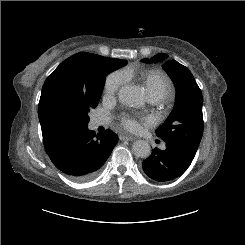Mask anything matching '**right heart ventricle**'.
<instances>
[{"label":"right heart ventricle","mask_w":245,"mask_h":245,"mask_svg":"<svg viewBox=\"0 0 245 245\" xmlns=\"http://www.w3.org/2000/svg\"><path fill=\"white\" fill-rule=\"evenodd\" d=\"M147 95L151 100H161L169 97L173 87L166 74L159 70H150L142 74Z\"/></svg>","instance_id":"e07e8e85"}]
</instances>
